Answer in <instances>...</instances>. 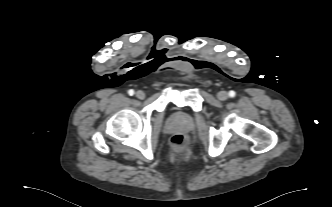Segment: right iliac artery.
<instances>
[{
	"label": "right iliac artery",
	"mask_w": 332,
	"mask_h": 207,
	"mask_svg": "<svg viewBox=\"0 0 332 207\" xmlns=\"http://www.w3.org/2000/svg\"><path fill=\"white\" fill-rule=\"evenodd\" d=\"M128 94H129L130 96L134 95V90L130 89V90L128 91Z\"/></svg>",
	"instance_id": "82829eb1"
}]
</instances>
